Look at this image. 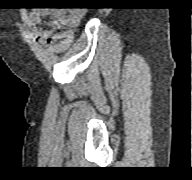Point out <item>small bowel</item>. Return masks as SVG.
<instances>
[{
	"instance_id": "1",
	"label": "small bowel",
	"mask_w": 192,
	"mask_h": 180,
	"mask_svg": "<svg viewBox=\"0 0 192 180\" xmlns=\"http://www.w3.org/2000/svg\"><path fill=\"white\" fill-rule=\"evenodd\" d=\"M51 16L53 23L60 25L61 28L75 27L80 21V14L67 13L65 10H49V9H35L28 17L30 25L36 26L42 22L46 17ZM52 31L39 32L35 31L33 34L43 43H48Z\"/></svg>"
}]
</instances>
